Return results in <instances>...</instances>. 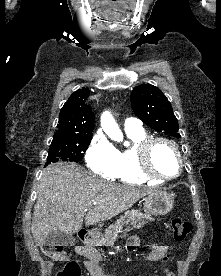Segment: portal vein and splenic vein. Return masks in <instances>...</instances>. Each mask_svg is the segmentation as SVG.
<instances>
[{"instance_id": "obj_1", "label": "portal vein and splenic vein", "mask_w": 221, "mask_h": 276, "mask_svg": "<svg viewBox=\"0 0 221 276\" xmlns=\"http://www.w3.org/2000/svg\"><path fill=\"white\" fill-rule=\"evenodd\" d=\"M94 204H96V202H94ZM85 211H88L87 209H85Z\"/></svg>"}]
</instances>
